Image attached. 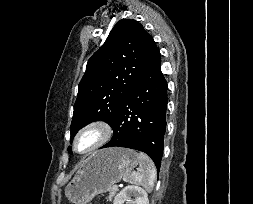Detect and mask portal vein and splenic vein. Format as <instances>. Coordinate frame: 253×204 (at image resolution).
Instances as JSON below:
<instances>
[{"mask_svg": "<svg viewBox=\"0 0 253 204\" xmlns=\"http://www.w3.org/2000/svg\"><path fill=\"white\" fill-rule=\"evenodd\" d=\"M114 188H116V189H117V188H118V185H114Z\"/></svg>", "mask_w": 253, "mask_h": 204, "instance_id": "obj_1", "label": "portal vein and splenic vein"}]
</instances>
